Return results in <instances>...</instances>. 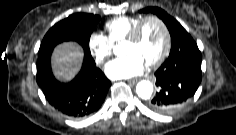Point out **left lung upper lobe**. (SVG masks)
Here are the masks:
<instances>
[{"label": "left lung upper lobe", "instance_id": "1", "mask_svg": "<svg viewBox=\"0 0 236 135\" xmlns=\"http://www.w3.org/2000/svg\"><path fill=\"white\" fill-rule=\"evenodd\" d=\"M141 12H152L156 14L160 19H162L166 24L172 39V46L169 55L174 54L175 52L179 51L181 48L189 44L195 43L190 34L187 33V31L181 26V24L172 16L167 14L164 10L158 7H147L141 10ZM178 30L180 31L178 32Z\"/></svg>", "mask_w": 236, "mask_h": 135}]
</instances>
